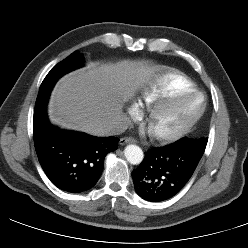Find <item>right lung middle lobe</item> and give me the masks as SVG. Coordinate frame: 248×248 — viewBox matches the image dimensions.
I'll use <instances>...</instances> for the list:
<instances>
[{
  "instance_id": "right-lung-middle-lobe-1",
  "label": "right lung middle lobe",
  "mask_w": 248,
  "mask_h": 248,
  "mask_svg": "<svg viewBox=\"0 0 248 248\" xmlns=\"http://www.w3.org/2000/svg\"><path fill=\"white\" fill-rule=\"evenodd\" d=\"M82 56L75 51L66 59L54 66L43 80L39 91L51 90L56 81L64 74L82 66Z\"/></svg>"
}]
</instances>
